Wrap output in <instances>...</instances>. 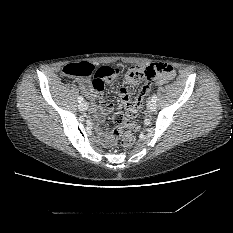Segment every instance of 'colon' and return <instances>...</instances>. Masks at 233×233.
Instances as JSON below:
<instances>
[{"instance_id": "1", "label": "colon", "mask_w": 233, "mask_h": 233, "mask_svg": "<svg viewBox=\"0 0 233 233\" xmlns=\"http://www.w3.org/2000/svg\"><path fill=\"white\" fill-rule=\"evenodd\" d=\"M112 72V67L95 68V66L87 61L68 64L62 68L61 74L64 77H80L93 79L97 83L107 74ZM118 70H116V73ZM126 73L132 78H144L151 81L155 76L162 74L170 77L172 74V67L166 63H153L146 67L139 65H130L126 68ZM138 110L131 104L126 105V115L122 112L114 114L112 120L115 127L111 130L113 135V142H119L122 146L130 147L134 143V130L137 128L136 124L129 123L126 116L130 118L136 117ZM107 131L108 128H105Z\"/></svg>"}]
</instances>
